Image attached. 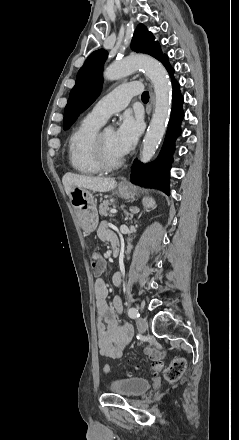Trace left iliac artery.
Wrapping results in <instances>:
<instances>
[{"label":"left iliac artery","mask_w":239,"mask_h":440,"mask_svg":"<svg viewBox=\"0 0 239 440\" xmlns=\"http://www.w3.org/2000/svg\"><path fill=\"white\" fill-rule=\"evenodd\" d=\"M128 315L130 318H133V319L138 318L140 316L138 310L133 307L128 309Z\"/></svg>","instance_id":"1"}]
</instances>
